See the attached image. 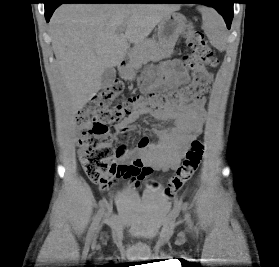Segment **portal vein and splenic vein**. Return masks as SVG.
Segmentation results:
<instances>
[{
    "mask_svg": "<svg viewBox=\"0 0 279 267\" xmlns=\"http://www.w3.org/2000/svg\"><path fill=\"white\" fill-rule=\"evenodd\" d=\"M124 31H125V28H124V27H121V28L118 29V32H119V33H122V32H124Z\"/></svg>",
    "mask_w": 279,
    "mask_h": 267,
    "instance_id": "18ae733b",
    "label": "portal vein and splenic vein"
}]
</instances>
